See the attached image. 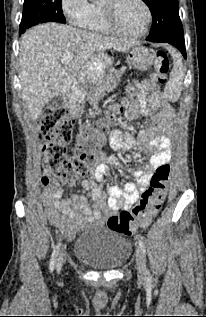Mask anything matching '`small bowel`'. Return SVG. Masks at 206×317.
Listing matches in <instances>:
<instances>
[{
	"mask_svg": "<svg viewBox=\"0 0 206 317\" xmlns=\"http://www.w3.org/2000/svg\"><path fill=\"white\" fill-rule=\"evenodd\" d=\"M135 96L127 108V117L131 120L139 116L146 118V128L137 136L123 134L116 129L110 135V145L116 150L138 148L127 156L136 160L150 156L148 163L123 167L116 159L113 164L125 169L137 178L136 183L114 181L108 189V196L102 190L104 175L109 174L104 154L97 155L96 163L88 178L82 179V194H74L63 199V190L58 188L42 199L44 213L49 222L68 238H74L78 232L89 225H103L118 210L130 209L146 189L153 172L167 164L171 158L170 135L174 110L151 79L133 82ZM75 181L67 183L68 186Z\"/></svg>",
	"mask_w": 206,
	"mask_h": 317,
	"instance_id": "1",
	"label": "small bowel"
}]
</instances>
